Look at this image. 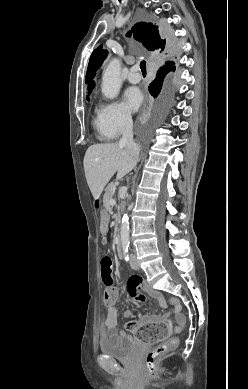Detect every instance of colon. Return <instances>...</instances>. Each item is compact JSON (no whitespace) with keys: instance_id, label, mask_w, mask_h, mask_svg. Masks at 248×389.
I'll list each match as a JSON object with an SVG mask.
<instances>
[{"instance_id":"1","label":"colon","mask_w":248,"mask_h":389,"mask_svg":"<svg viewBox=\"0 0 248 389\" xmlns=\"http://www.w3.org/2000/svg\"><path fill=\"white\" fill-rule=\"evenodd\" d=\"M97 200L101 199L100 195L96 196ZM112 267L113 262L110 257H104L101 260V273L103 282L109 286L105 290L103 295V301L105 305H110L116 302L118 295L111 286L114 285V280L112 279ZM170 302L175 306L177 311L181 310V304L176 299H171ZM129 329H135L136 325L133 322L128 323ZM182 323L175 325V328H182ZM172 327L171 322L160 320V322H144L143 326L139 327V330H134L133 335L137 337L140 344H152L153 340H159L160 337H169V329ZM178 346V339L171 338L168 341L160 344L156 348L149 351L145 356V366L150 372H155L158 367V362L173 351Z\"/></svg>"}]
</instances>
